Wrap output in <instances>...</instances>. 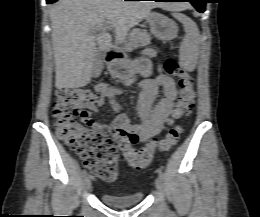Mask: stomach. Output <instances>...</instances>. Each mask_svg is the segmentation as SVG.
I'll return each mask as SVG.
<instances>
[{
    "label": "stomach",
    "mask_w": 260,
    "mask_h": 217,
    "mask_svg": "<svg viewBox=\"0 0 260 217\" xmlns=\"http://www.w3.org/2000/svg\"><path fill=\"white\" fill-rule=\"evenodd\" d=\"M147 22L150 25L152 34L160 40L170 41L177 35L178 28L175 22L160 13L149 12ZM112 68L113 75L120 79L131 78L137 73L143 77H148L152 72L151 63L146 59L137 62L126 59L120 60L112 64Z\"/></svg>",
    "instance_id": "1"
}]
</instances>
